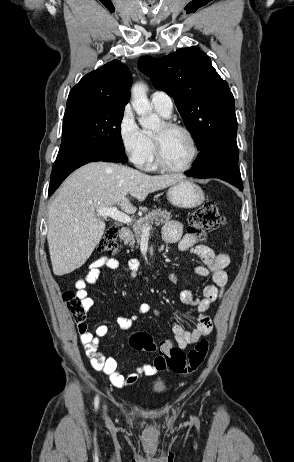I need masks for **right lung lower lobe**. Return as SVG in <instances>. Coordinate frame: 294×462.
I'll return each instance as SVG.
<instances>
[{
	"mask_svg": "<svg viewBox=\"0 0 294 462\" xmlns=\"http://www.w3.org/2000/svg\"><path fill=\"white\" fill-rule=\"evenodd\" d=\"M127 160L124 151L117 149L93 150L59 157L53 165L48 195H51L70 173L86 163L94 161L126 162Z\"/></svg>",
	"mask_w": 294,
	"mask_h": 462,
	"instance_id": "98d812e1",
	"label": "right lung lower lobe"
}]
</instances>
